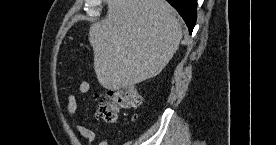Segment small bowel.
Here are the masks:
<instances>
[{
	"label": "small bowel",
	"instance_id": "small-bowel-1",
	"mask_svg": "<svg viewBox=\"0 0 276 145\" xmlns=\"http://www.w3.org/2000/svg\"><path fill=\"white\" fill-rule=\"evenodd\" d=\"M80 91L83 94H87L90 92V84L88 82H82L80 85ZM78 103L77 98L74 95H68L66 99V113L70 118H73L76 111H77ZM75 130L77 133L82 136L88 145H91L95 140V133L90 128L84 126L75 124L74 125ZM100 145H109L108 139H104L100 142Z\"/></svg>",
	"mask_w": 276,
	"mask_h": 145
}]
</instances>
